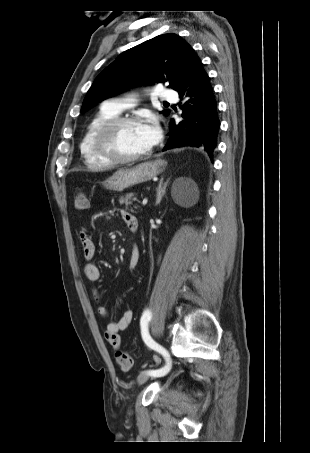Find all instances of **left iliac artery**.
Here are the masks:
<instances>
[{"label":"left iliac artery","mask_w":310,"mask_h":453,"mask_svg":"<svg viewBox=\"0 0 310 453\" xmlns=\"http://www.w3.org/2000/svg\"><path fill=\"white\" fill-rule=\"evenodd\" d=\"M151 316L152 314L148 309H146L143 312V315L140 320L142 338L144 342L147 344V346L163 355V357L166 360V365L156 370H150L147 373L154 377H162L166 375L171 369V361L170 356L168 352L165 350V348L156 343L148 333V322L151 320Z\"/></svg>","instance_id":"44dca946"}]
</instances>
